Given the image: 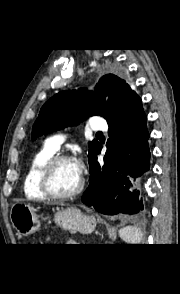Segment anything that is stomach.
I'll return each instance as SVG.
<instances>
[{
	"label": "stomach",
	"instance_id": "stomach-1",
	"mask_svg": "<svg viewBox=\"0 0 180 294\" xmlns=\"http://www.w3.org/2000/svg\"><path fill=\"white\" fill-rule=\"evenodd\" d=\"M10 217L13 227L23 236L39 232L43 226V217L38 213V209L27 203L13 204ZM54 220L58 226L69 231L90 233L96 227L95 218L84 214L76 207L61 209L55 214Z\"/></svg>",
	"mask_w": 180,
	"mask_h": 294
}]
</instances>
